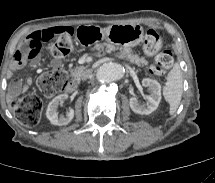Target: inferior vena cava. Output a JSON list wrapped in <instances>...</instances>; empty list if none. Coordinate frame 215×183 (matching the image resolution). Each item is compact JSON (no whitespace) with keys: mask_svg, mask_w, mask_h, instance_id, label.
Listing matches in <instances>:
<instances>
[{"mask_svg":"<svg viewBox=\"0 0 215 183\" xmlns=\"http://www.w3.org/2000/svg\"><path fill=\"white\" fill-rule=\"evenodd\" d=\"M90 77H92V70L91 69H87V70L83 71L81 74L82 80H87Z\"/></svg>","mask_w":215,"mask_h":183,"instance_id":"obj_1","label":"inferior vena cava"}]
</instances>
